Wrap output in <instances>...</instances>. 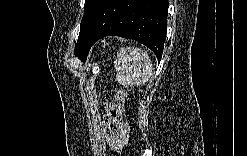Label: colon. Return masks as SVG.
Instances as JSON below:
<instances>
[{
  "mask_svg": "<svg viewBox=\"0 0 247 156\" xmlns=\"http://www.w3.org/2000/svg\"><path fill=\"white\" fill-rule=\"evenodd\" d=\"M126 92L123 89L117 91L115 95L116 109L122 115H127V110L125 106Z\"/></svg>",
  "mask_w": 247,
  "mask_h": 156,
  "instance_id": "5ec220e1",
  "label": "colon"
}]
</instances>
